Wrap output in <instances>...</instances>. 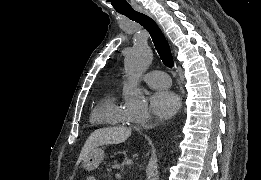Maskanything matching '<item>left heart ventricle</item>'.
Segmentation results:
<instances>
[{"label":"left heart ventricle","mask_w":261,"mask_h":180,"mask_svg":"<svg viewBox=\"0 0 261 180\" xmlns=\"http://www.w3.org/2000/svg\"><path fill=\"white\" fill-rule=\"evenodd\" d=\"M124 112H125L126 117L129 119H135V118L139 117L138 113H132V111H124Z\"/></svg>","instance_id":"b2bd125f"}]
</instances>
